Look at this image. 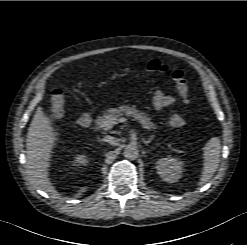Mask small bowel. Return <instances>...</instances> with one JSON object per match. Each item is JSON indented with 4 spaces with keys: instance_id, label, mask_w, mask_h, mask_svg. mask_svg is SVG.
I'll use <instances>...</instances> for the list:
<instances>
[{
    "instance_id": "1",
    "label": "small bowel",
    "mask_w": 247,
    "mask_h": 245,
    "mask_svg": "<svg viewBox=\"0 0 247 245\" xmlns=\"http://www.w3.org/2000/svg\"><path fill=\"white\" fill-rule=\"evenodd\" d=\"M175 98L171 95H166L162 91H157L153 97V105L157 110L166 108L174 104Z\"/></svg>"
}]
</instances>
